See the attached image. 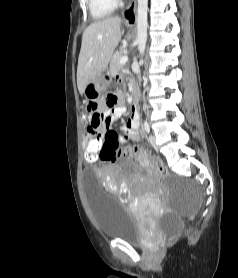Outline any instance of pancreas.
Here are the masks:
<instances>
[{
    "label": "pancreas",
    "instance_id": "obj_1",
    "mask_svg": "<svg viewBox=\"0 0 238 278\" xmlns=\"http://www.w3.org/2000/svg\"><path fill=\"white\" fill-rule=\"evenodd\" d=\"M124 56L121 50H118L114 53L111 62H110V74L116 75L121 69L120 59Z\"/></svg>",
    "mask_w": 238,
    "mask_h": 278
}]
</instances>
